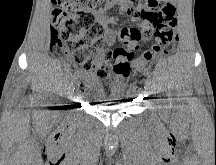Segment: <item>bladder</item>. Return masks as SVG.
<instances>
[{"instance_id":"31cf9c89","label":"bladder","mask_w":216,"mask_h":165,"mask_svg":"<svg viewBox=\"0 0 216 165\" xmlns=\"http://www.w3.org/2000/svg\"><path fill=\"white\" fill-rule=\"evenodd\" d=\"M110 81H95L89 78L86 83L83 96L90 98V100H108L100 101V106H114V107H126L128 104L123 101H111L113 98H118L123 92V84L121 81H115V76L109 77ZM92 84L95 85V89H92Z\"/></svg>"}]
</instances>
